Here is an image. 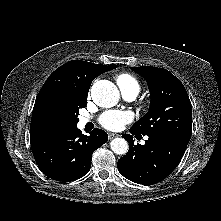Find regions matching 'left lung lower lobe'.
I'll return each instance as SVG.
<instances>
[{"mask_svg":"<svg viewBox=\"0 0 221 221\" xmlns=\"http://www.w3.org/2000/svg\"><path fill=\"white\" fill-rule=\"evenodd\" d=\"M122 137L128 141L129 151L118 160V170L128 180L146 186L166 178L178 166L187 147L162 136H148L145 145H134L132 135Z\"/></svg>","mask_w":221,"mask_h":221,"instance_id":"1","label":"left lung lower lobe"}]
</instances>
